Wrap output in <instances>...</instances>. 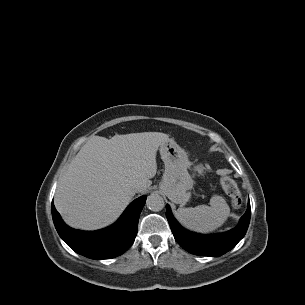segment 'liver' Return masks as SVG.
<instances>
[{
  "label": "liver",
  "mask_w": 305,
  "mask_h": 305,
  "mask_svg": "<svg viewBox=\"0 0 305 305\" xmlns=\"http://www.w3.org/2000/svg\"><path fill=\"white\" fill-rule=\"evenodd\" d=\"M169 140L160 132L89 138L56 189L54 204L64 221L84 230L113 223L136 193L150 187L158 148Z\"/></svg>",
  "instance_id": "1"
}]
</instances>
